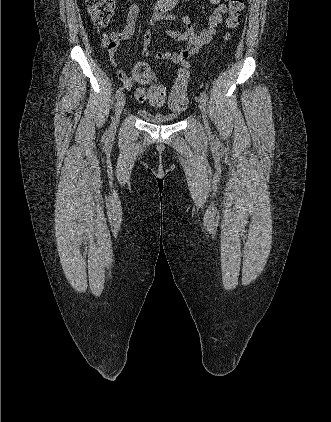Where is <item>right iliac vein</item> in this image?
I'll list each match as a JSON object with an SVG mask.
<instances>
[{"label": "right iliac vein", "mask_w": 331, "mask_h": 422, "mask_svg": "<svg viewBox=\"0 0 331 422\" xmlns=\"http://www.w3.org/2000/svg\"><path fill=\"white\" fill-rule=\"evenodd\" d=\"M126 102L125 94H121L118 97L117 103H116V109H115V116L112 121V129H116L119 123L120 115L122 113V110L124 108Z\"/></svg>", "instance_id": "63e3f726"}]
</instances>
